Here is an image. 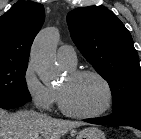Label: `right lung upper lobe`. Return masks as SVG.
Wrapping results in <instances>:
<instances>
[{
  "label": "right lung upper lobe",
  "instance_id": "1",
  "mask_svg": "<svg viewBox=\"0 0 141 139\" xmlns=\"http://www.w3.org/2000/svg\"><path fill=\"white\" fill-rule=\"evenodd\" d=\"M45 19L44 7L19 1L0 17V62H28L30 47Z\"/></svg>",
  "mask_w": 141,
  "mask_h": 139
}]
</instances>
